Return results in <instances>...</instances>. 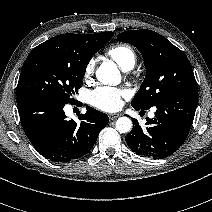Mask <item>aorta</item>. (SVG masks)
Returning a JSON list of instances; mask_svg holds the SVG:
<instances>
[{"label":"aorta","instance_id":"1","mask_svg":"<svg viewBox=\"0 0 212 212\" xmlns=\"http://www.w3.org/2000/svg\"><path fill=\"white\" fill-rule=\"evenodd\" d=\"M97 79L103 84L118 83L121 80L117 67L113 63L105 62L96 71ZM116 129L120 133H128L132 129V121L130 118L123 116L116 121Z\"/></svg>","mask_w":212,"mask_h":212}]
</instances>
